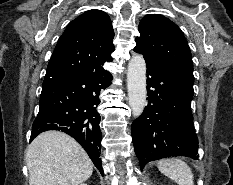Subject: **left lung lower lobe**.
<instances>
[{
	"label": "left lung lower lobe",
	"instance_id": "1",
	"mask_svg": "<svg viewBox=\"0 0 233 185\" xmlns=\"http://www.w3.org/2000/svg\"><path fill=\"white\" fill-rule=\"evenodd\" d=\"M146 66L148 103L131 126L141 168L150 161L171 156L198 159L191 112L193 72L149 60Z\"/></svg>",
	"mask_w": 233,
	"mask_h": 185
}]
</instances>
